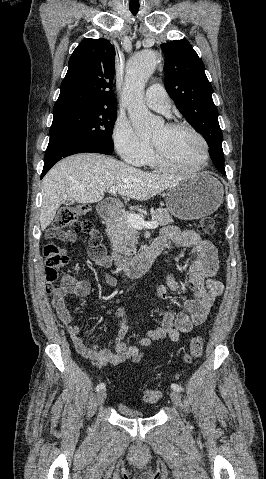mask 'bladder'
Returning <instances> with one entry per match:
<instances>
[{"mask_svg": "<svg viewBox=\"0 0 266 479\" xmlns=\"http://www.w3.org/2000/svg\"><path fill=\"white\" fill-rule=\"evenodd\" d=\"M118 410L120 414L124 417L139 418V417L145 416L143 412L131 409L130 407H128L126 404H123V403L118 404Z\"/></svg>", "mask_w": 266, "mask_h": 479, "instance_id": "1", "label": "bladder"}]
</instances>
